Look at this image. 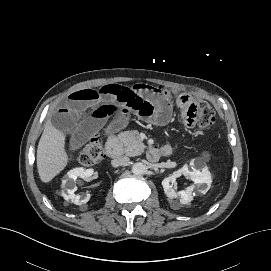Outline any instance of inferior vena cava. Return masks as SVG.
Instances as JSON below:
<instances>
[{
  "label": "inferior vena cava",
  "instance_id": "602c4592",
  "mask_svg": "<svg viewBox=\"0 0 271 271\" xmlns=\"http://www.w3.org/2000/svg\"><path fill=\"white\" fill-rule=\"evenodd\" d=\"M128 161H129L128 157H119V158L113 159L111 161V164L113 167H119L126 164Z\"/></svg>",
  "mask_w": 271,
  "mask_h": 271
}]
</instances>
